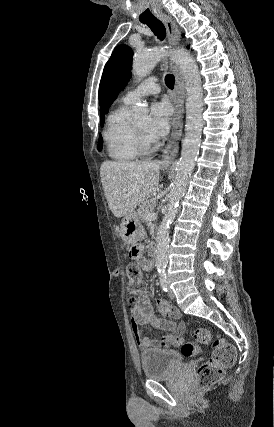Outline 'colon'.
Listing matches in <instances>:
<instances>
[{
	"label": "colon",
	"mask_w": 274,
	"mask_h": 427,
	"mask_svg": "<svg viewBox=\"0 0 274 427\" xmlns=\"http://www.w3.org/2000/svg\"><path fill=\"white\" fill-rule=\"evenodd\" d=\"M140 253V245L132 244L131 257L139 258ZM127 277L129 293L132 296L137 295L144 288L141 270L131 264L127 267ZM194 338L196 342H184L177 338H173L171 341L180 348L184 358L196 356L197 344H212V356L199 365L196 374V393L202 394L203 390L222 382L225 372L235 364L237 353L233 344L221 338L214 339L211 332L205 327L197 328L194 331Z\"/></svg>",
	"instance_id": "obj_1"
}]
</instances>
